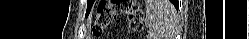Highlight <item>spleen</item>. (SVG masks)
I'll list each match as a JSON object with an SVG mask.
<instances>
[{"label":"spleen","mask_w":249,"mask_h":39,"mask_svg":"<svg viewBox=\"0 0 249 39\" xmlns=\"http://www.w3.org/2000/svg\"><path fill=\"white\" fill-rule=\"evenodd\" d=\"M174 9L168 0H147L145 26L149 39H169Z\"/></svg>","instance_id":"1"}]
</instances>
